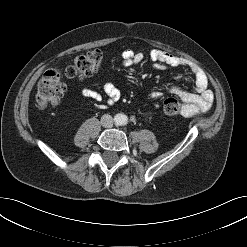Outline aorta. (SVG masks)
<instances>
[{"label": "aorta", "instance_id": "1", "mask_svg": "<svg viewBox=\"0 0 247 247\" xmlns=\"http://www.w3.org/2000/svg\"><path fill=\"white\" fill-rule=\"evenodd\" d=\"M117 125H126L128 122V117L125 114H117L114 118Z\"/></svg>", "mask_w": 247, "mask_h": 247}]
</instances>
